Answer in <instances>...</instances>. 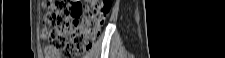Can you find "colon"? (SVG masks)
<instances>
[{"mask_svg":"<svg viewBox=\"0 0 225 58\" xmlns=\"http://www.w3.org/2000/svg\"><path fill=\"white\" fill-rule=\"evenodd\" d=\"M111 7L109 0L47 1L41 31L47 55L81 56L98 39Z\"/></svg>","mask_w":225,"mask_h":58,"instance_id":"obj_1","label":"colon"}]
</instances>
